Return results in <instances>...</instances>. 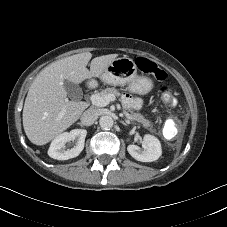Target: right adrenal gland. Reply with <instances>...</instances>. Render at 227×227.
Instances as JSON below:
<instances>
[{"instance_id": "1", "label": "right adrenal gland", "mask_w": 227, "mask_h": 227, "mask_svg": "<svg viewBox=\"0 0 227 227\" xmlns=\"http://www.w3.org/2000/svg\"><path fill=\"white\" fill-rule=\"evenodd\" d=\"M77 124H78V125H80V126H83V124H82V123H80V122H79V123H77Z\"/></svg>"}]
</instances>
